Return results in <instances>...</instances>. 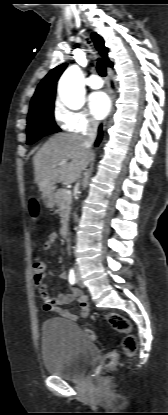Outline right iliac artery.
<instances>
[{"label":"right iliac artery","instance_id":"82829eb1","mask_svg":"<svg viewBox=\"0 0 168 415\" xmlns=\"http://www.w3.org/2000/svg\"><path fill=\"white\" fill-rule=\"evenodd\" d=\"M69 282L72 285H74L77 282L76 274L73 269H71L69 272Z\"/></svg>","mask_w":168,"mask_h":415}]
</instances>
